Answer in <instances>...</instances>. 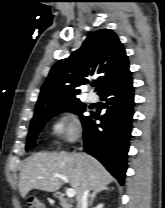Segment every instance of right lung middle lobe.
Masks as SVG:
<instances>
[{
  "instance_id": "1",
  "label": "right lung middle lobe",
  "mask_w": 165,
  "mask_h": 208,
  "mask_svg": "<svg viewBox=\"0 0 165 208\" xmlns=\"http://www.w3.org/2000/svg\"><path fill=\"white\" fill-rule=\"evenodd\" d=\"M85 104L81 103L78 100H73L64 103H57L45 107L38 112H35L34 117L30 124V130L27 139L26 150H29L34 144L37 135L39 134L40 130L43 128L44 124L53 116L60 112H73L76 114H80V119L83 122L87 116L82 115L81 113L85 111Z\"/></svg>"
}]
</instances>
